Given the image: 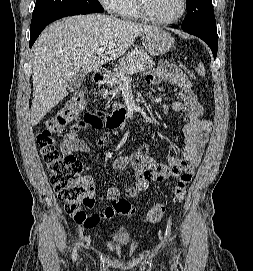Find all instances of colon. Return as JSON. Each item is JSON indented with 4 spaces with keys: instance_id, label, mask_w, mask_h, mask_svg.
Listing matches in <instances>:
<instances>
[{
    "instance_id": "colon-1",
    "label": "colon",
    "mask_w": 253,
    "mask_h": 271,
    "mask_svg": "<svg viewBox=\"0 0 253 271\" xmlns=\"http://www.w3.org/2000/svg\"><path fill=\"white\" fill-rule=\"evenodd\" d=\"M182 68L188 71L185 65H182ZM85 99L83 91H79L70 98L61 110L48 120L46 127L37 134L36 140L50 174L51 183L64 204L65 211L78 225L90 228L96 223V217L85 209H91L94 206L93 187L82 178V164L79 159L72 154L61 152L57 147L58 137L80 113ZM101 116L100 113H87L84 119L97 122L101 120ZM192 177L190 173H184L179 177L173 190L176 201H182L185 198ZM111 207L115 214L134 213V206L125 198L113 200ZM164 212L165 205L159 202L147 211L146 219L151 223H157Z\"/></svg>"
}]
</instances>
